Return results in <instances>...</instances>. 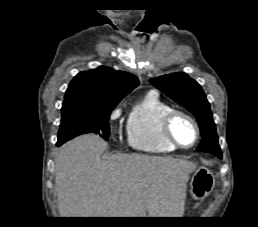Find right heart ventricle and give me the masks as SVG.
<instances>
[{"label": "right heart ventricle", "mask_w": 258, "mask_h": 227, "mask_svg": "<svg viewBox=\"0 0 258 227\" xmlns=\"http://www.w3.org/2000/svg\"><path fill=\"white\" fill-rule=\"evenodd\" d=\"M171 107L154 93H148L132 107L127 120L131 148L152 154H167L177 148L162 135L161 120Z\"/></svg>", "instance_id": "obj_1"}]
</instances>
